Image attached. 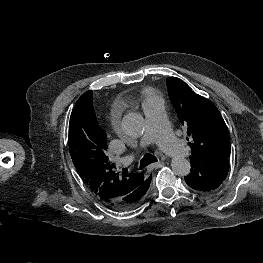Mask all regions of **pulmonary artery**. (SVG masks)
<instances>
[{"mask_svg": "<svg viewBox=\"0 0 263 263\" xmlns=\"http://www.w3.org/2000/svg\"><path fill=\"white\" fill-rule=\"evenodd\" d=\"M143 110L146 117V129L140 140L141 147L157 142L170 156H186L187 149L169 127L162 101L158 98L149 100L144 103Z\"/></svg>", "mask_w": 263, "mask_h": 263, "instance_id": "obj_1", "label": "pulmonary artery"}]
</instances>
